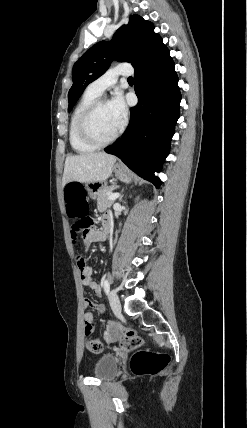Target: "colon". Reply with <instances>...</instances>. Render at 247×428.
Returning a JSON list of instances; mask_svg holds the SVG:
<instances>
[{
	"instance_id": "obj_1",
	"label": "colon",
	"mask_w": 247,
	"mask_h": 428,
	"mask_svg": "<svg viewBox=\"0 0 247 428\" xmlns=\"http://www.w3.org/2000/svg\"><path fill=\"white\" fill-rule=\"evenodd\" d=\"M65 217L71 221L73 226V236L75 238L84 236L87 231L93 226V217L87 216V202L85 191L81 184L70 182L66 185L64 191ZM85 263L83 258H78V266H83ZM83 305L89 306V309L96 310L99 316L108 315L107 304L100 303L96 298L91 301L83 300ZM84 332L87 335L85 339L86 348L93 353H99L103 350L102 342L90 335L94 332L95 323L92 318L87 317L84 320ZM114 332L120 335L121 347L125 350H135L142 345L141 337L133 330L125 328L122 330L115 329ZM170 357L163 353H153L146 350L137 351L131 360V368L135 374H156L168 365Z\"/></svg>"
}]
</instances>
